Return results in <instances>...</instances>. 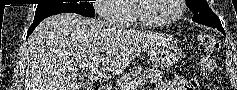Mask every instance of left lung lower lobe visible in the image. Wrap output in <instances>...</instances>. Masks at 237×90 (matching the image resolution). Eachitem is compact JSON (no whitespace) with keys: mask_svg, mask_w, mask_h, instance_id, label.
<instances>
[{"mask_svg":"<svg viewBox=\"0 0 237 90\" xmlns=\"http://www.w3.org/2000/svg\"><path fill=\"white\" fill-rule=\"evenodd\" d=\"M222 33L225 35V32H224V31H222Z\"/></svg>","mask_w":237,"mask_h":90,"instance_id":"1","label":"left lung lower lobe"}]
</instances>
